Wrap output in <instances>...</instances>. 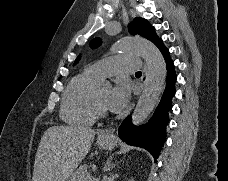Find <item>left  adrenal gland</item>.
Wrapping results in <instances>:
<instances>
[{
    "mask_svg": "<svg viewBox=\"0 0 228 181\" xmlns=\"http://www.w3.org/2000/svg\"><path fill=\"white\" fill-rule=\"evenodd\" d=\"M115 165H110V163H106L105 171H110V169H113Z\"/></svg>",
    "mask_w": 228,
    "mask_h": 181,
    "instance_id": "1",
    "label": "left adrenal gland"
}]
</instances>
